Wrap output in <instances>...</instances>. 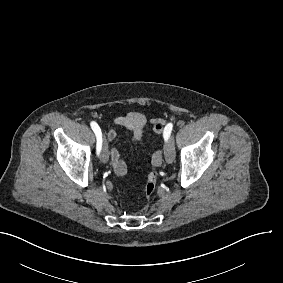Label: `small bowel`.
Wrapping results in <instances>:
<instances>
[{"instance_id": "1", "label": "small bowel", "mask_w": 283, "mask_h": 283, "mask_svg": "<svg viewBox=\"0 0 283 283\" xmlns=\"http://www.w3.org/2000/svg\"><path fill=\"white\" fill-rule=\"evenodd\" d=\"M115 125L125 128L131 132L135 141H141L144 136L145 129L148 125V118L144 113L132 111L124 115L116 116L113 119ZM152 129L155 134L162 135L164 127L161 121L152 123ZM117 130L111 129L107 132V140L112 142L117 138ZM110 160L114 173L117 176H124L127 171V165L121 158L119 150L113 146L110 151ZM163 156L160 150H157L152 155V163L154 166L159 167L162 164Z\"/></svg>"}]
</instances>
